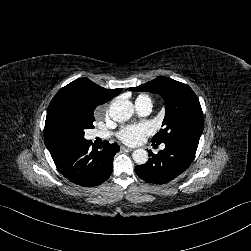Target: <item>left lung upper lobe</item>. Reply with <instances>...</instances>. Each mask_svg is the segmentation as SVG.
<instances>
[{"instance_id": "5c2ea615", "label": "left lung upper lobe", "mask_w": 251, "mask_h": 251, "mask_svg": "<svg viewBox=\"0 0 251 251\" xmlns=\"http://www.w3.org/2000/svg\"><path fill=\"white\" fill-rule=\"evenodd\" d=\"M128 89L159 93L165 101L163 129L152 138L153 143H167L176 139L199 143L204 128L203 112L197 96L188 85L159 76L143 85Z\"/></svg>"}]
</instances>
